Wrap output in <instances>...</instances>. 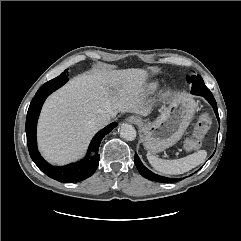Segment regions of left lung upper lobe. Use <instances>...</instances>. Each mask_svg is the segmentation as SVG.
<instances>
[{
  "label": "left lung upper lobe",
  "instance_id": "obj_1",
  "mask_svg": "<svg viewBox=\"0 0 241 241\" xmlns=\"http://www.w3.org/2000/svg\"><path fill=\"white\" fill-rule=\"evenodd\" d=\"M191 79L194 80L195 83H197L199 86L202 87V89L207 90L208 88L205 86L202 78L198 75L197 77L192 76Z\"/></svg>",
  "mask_w": 241,
  "mask_h": 241
}]
</instances>
